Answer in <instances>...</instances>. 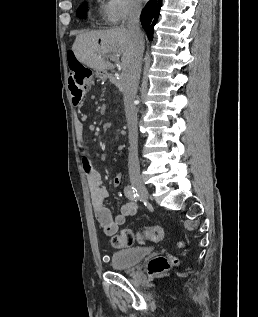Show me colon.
I'll list each match as a JSON object with an SVG mask.
<instances>
[{"instance_id":"obj_1","label":"colon","mask_w":258,"mask_h":317,"mask_svg":"<svg viewBox=\"0 0 258 317\" xmlns=\"http://www.w3.org/2000/svg\"><path fill=\"white\" fill-rule=\"evenodd\" d=\"M67 62L71 74L80 79L85 87H89L94 78L93 71L83 65L76 57L73 50L67 52ZM162 228L156 224H145L138 230L123 229L112 236L111 244L116 248L133 246L136 242L148 244L159 242L162 239ZM177 264V260L171 256H156L148 263V273L152 276L161 274Z\"/></svg>"}]
</instances>
